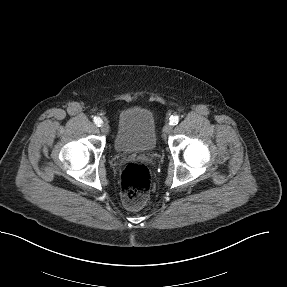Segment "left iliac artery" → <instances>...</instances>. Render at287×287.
<instances>
[{
  "label": "left iliac artery",
  "mask_w": 287,
  "mask_h": 287,
  "mask_svg": "<svg viewBox=\"0 0 287 287\" xmlns=\"http://www.w3.org/2000/svg\"><path fill=\"white\" fill-rule=\"evenodd\" d=\"M179 122V117L178 116H171L170 117V125H177Z\"/></svg>",
  "instance_id": "left-iliac-artery-1"
}]
</instances>
